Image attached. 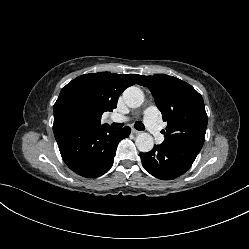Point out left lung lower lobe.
I'll use <instances>...</instances> for the list:
<instances>
[{
    "mask_svg": "<svg viewBox=\"0 0 249 249\" xmlns=\"http://www.w3.org/2000/svg\"><path fill=\"white\" fill-rule=\"evenodd\" d=\"M199 151L184 145H155L140 153L144 168L160 179H173L184 174L193 164Z\"/></svg>",
    "mask_w": 249,
    "mask_h": 249,
    "instance_id": "0a47b994",
    "label": "left lung lower lobe"
}]
</instances>
